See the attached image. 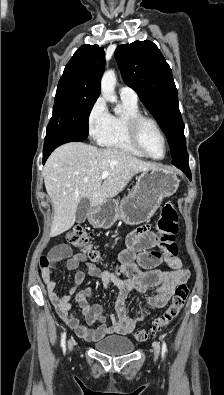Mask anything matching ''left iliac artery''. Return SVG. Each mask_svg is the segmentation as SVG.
Wrapping results in <instances>:
<instances>
[{
    "label": "left iliac artery",
    "mask_w": 224,
    "mask_h": 395,
    "mask_svg": "<svg viewBox=\"0 0 224 395\" xmlns=\"http://www.w3.org/2000/svg\"><path fill=\"white\" fill-rule=\"evenodd\" d=\"M167 352V346L165 341L162 342V355L164 356L165 353Z\"/></svg>",
    "instance_id": "left-iliac-artery-1"
}]
</instances>
